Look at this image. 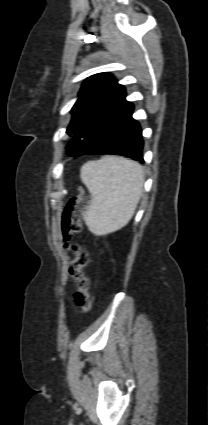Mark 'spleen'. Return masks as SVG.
<instances>
[{"mask_svg": "<svg viewBox=\"0 0 208 425\" xmlns=\"http://www.w3.org/2000/svg\"><path fill=\"white\" fill-rule=\"evenodd\" d=\"M80 178L91 194L84 213L89 230L106 235L126 226L143 192L142 166L124 157L105 155L82 165Z\"/></svg>", "mask_w": 208, "mask_h": 425, "instance_id": "1", "label": "spleen"}]
</instances>
